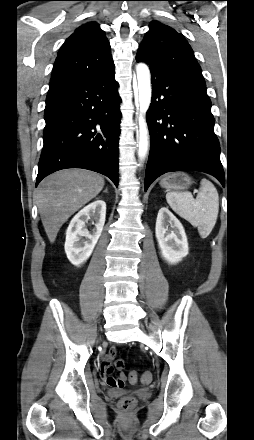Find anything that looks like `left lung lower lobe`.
I'll return each instance as SVG.
<instances>
[{"label":"left lung lower lobe","instance_id":"obj_1","mask_svg":"<svg viewBox=\"0 0 254 440\" xmlns=\"http://www.w3.org/2000/svg\"><path fill=\"white\" fill-rule=\"evenodd\" d=\"M152 100L146 115L151 147L145 191L166 172L196 170L224 185L220 146L206 90L188 77L151 60Z\"/></svg>","mask_w":254,"mask_h":440}]
</instances>
